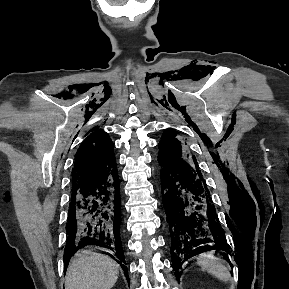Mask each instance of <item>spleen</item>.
<instances>
[{"label": "spleen", "mask_w": 289, "mask_h": 289, "mask_svg": "<svg viewBox=\"0 0 289 289\" xmlns=\"http://www.w3.org/2000/svg\"><path fill=\"white\" fill-rule=\"evenodd\" d=\"M197 264L202 270L207 271L222 282H228L231 279V274L224 265L223 260L215 257L213 252L200 255Z\"/></svg>", "instance_id": "obj_1"}]
</instances>
